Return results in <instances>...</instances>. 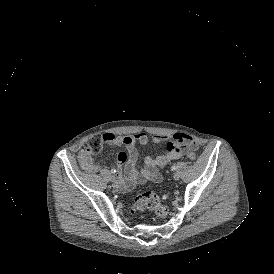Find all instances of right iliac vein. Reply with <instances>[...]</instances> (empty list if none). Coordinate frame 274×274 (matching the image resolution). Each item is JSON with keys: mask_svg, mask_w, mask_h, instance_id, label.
I'll return each instance as SVG.
<instances>
[{"mask_svg": "<svg viewBox=\"0 0 274 274\" xmlns=\"http://www.w3.org/2000/svg\"><path fill=\"white\" fill-rule=\"evenodd\" d=\"M110 180H111V182H113V184L115 183V181H116V177H115V175H112L111 177H110Z\"/></svg>", "mask_w": 274, "mask_h": 274, "instance_id": "right-iliac-vein-1", "label": "right iliac vein"}]
</instances>
